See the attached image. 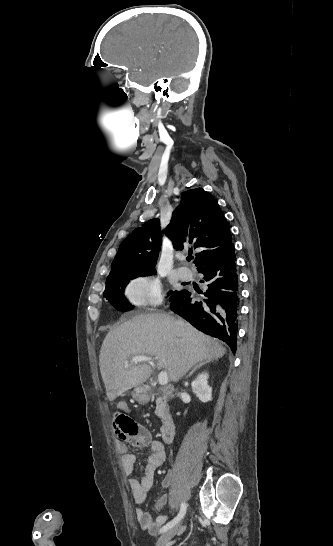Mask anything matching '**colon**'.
Listing matches in <instances>:
<instances>
[{
  "mask_svg": "<svg viewBox=\"0 0 333 546\" xmlns=\"http://www.w3.org/2000/svg\"><path fill=\"white\" fill-rule=\"evenodd\" d=\"M112 422L115 433L120 441H126L135 431V424L120 411L113 413Z\"/></svg>",
  "mask_w": 333,
  "mask_h": 546,
  "instance_id": "1",
  "label": "colon"
}]
</instances>
